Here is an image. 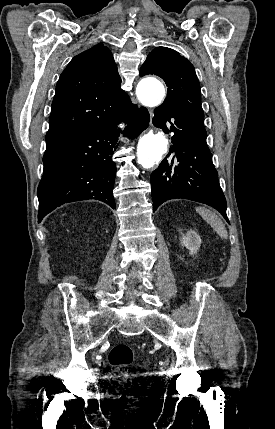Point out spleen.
<instances>
[{
	"label": "spleen",
	"mask_w": 275,
	"mask_h": 429,
	"mask_svg": "<svg viewBox=\"0 0 275 429\" xmlns=\"http://www.w3.org/2000/svg\"><path fill=\"white\" fill-rule=\"evenodd\" d=\"M196 211L208 224H210L220 237L224 239L228 237L225 225L215 213L204 207H197Z\"/></svg>",
	"instance_id": "spleen-1"
}]
</instances>
